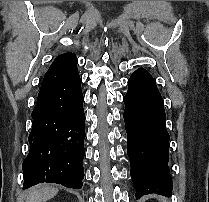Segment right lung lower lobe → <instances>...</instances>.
<instances>
[{
  "label": "right lung lower lobe",
  "instance_id": "98d812e1",
  "mask_svg": "<svg viewBox=\"0 0 209 202\" xmlns=\"http://www.w3.org/2000/svg\"><path fill=\"white\" fill-rule=\"evenodd\" d=\"M81 78L59 55L44 75L32 112L33 125L25 158L23 188L42 182L80 189L85 155V114Z\"/></svg>",
  "mask_w": 209,
  "mask_h": 202
}]
</instances>
